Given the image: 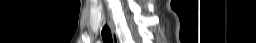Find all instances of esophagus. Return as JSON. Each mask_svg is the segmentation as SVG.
Wrapping results in <instances>:
<instances>
[{
    "label": "esophagus",
    "mask_w": 256,
    "mask_h": 43,
    "mask_svg": "<svg viewBox=\"0 0 256 43\" xmlns=\"http://www.w3.org/2000/svg\"><path fill=\"white\" fill-rule=\"evenodd\" d=\"M114 43H118V40H116V37L113 36Z\"/></svg>",
    "instance_id": "obj_1"
}]
</instances>
